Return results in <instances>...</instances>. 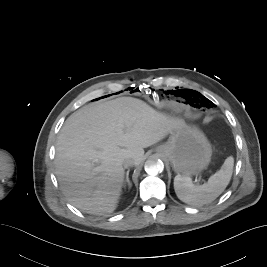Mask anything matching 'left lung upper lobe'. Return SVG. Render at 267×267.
<instances>
[{
	"instance_id": "5c2ea615",
	"label": "left lung upper lobe",
	"mask_w": 267,
	"mask_h": 267,
	"mask_svg": "<svg viewBox=\"0 0 267 267\" xmlns=\"http://www.w3.org/2000/svg\"><path fill=\"white\" fill-rule=\"evenodd\" d=\"M179 95H185L184 91L182 90H178ZM198 95L201 97V99H199L198 97L195 96V99L199 100L201 102V104H203L204 106H206L207 108L209 107H213L214 103H212L210 100H208L207 98H205L204 96H202L201 94L198 93ZM194 102V101H193Z\"/></svg>"
}]
</instances>
